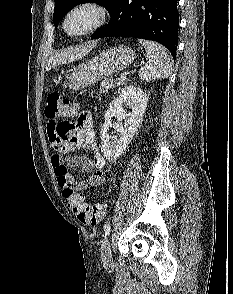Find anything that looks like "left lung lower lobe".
Segmentation results:
<instances>
[{"label":"left lung lower lobe","mask_w":233,"mask_h":294,"mask_svg":"<svg viewBox=\"0 0 233 294\" xmlns=\"http://www.w3.org/2000/svg\"><path fill=\"white\" fill-rule=\"evenodd\" d=\"M109 23L91 39L134 37L157 41L176 56L179 14L177 0H117Z\"/></svg>","instance_id":"left-lung-lower-lobe-1"}]
</instances>
